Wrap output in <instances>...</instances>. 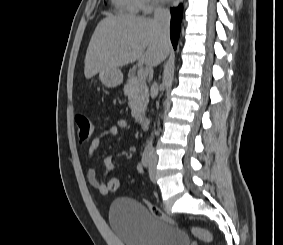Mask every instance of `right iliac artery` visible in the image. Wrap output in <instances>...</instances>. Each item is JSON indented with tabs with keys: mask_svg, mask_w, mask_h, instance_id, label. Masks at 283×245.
I'll list each match as a JSON object with an SVG mask.
<instances>
[{
	"mask_svg": "<svg viewBox=\"0 0 283 245\" xmlns=\"http://www.w3.org/2000/svg\"><path fill=\"white\" fill-rule=\"evenodd\" d=\"M150 156H151V152L149 149H145L143 154H142V164L144 167H148L149 166V163H150Z\"/></svg>",
	"mask_w": 283,
	"mask_h": 245,
	"instance_id": "82829eb1",
	"label": "right iliac artery"
}]
</instances>
